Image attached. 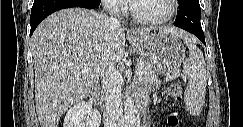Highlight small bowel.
Wrapping results in <instances>:
<instances>
[{"instance_id": "obj_1", "label": "small bowel", "mask_w": 243, "mask_h": 127, "mask_svg": "<svg viewBox=\"0 0 243 127\" xmlns=\"http://www.w3.org/2000/svg\"><path fill=\"white\" fill-rule=\"evenodd\" d=\"M141 94H142V95H145V90H142Z\"/></svg>"}]
</instances>
